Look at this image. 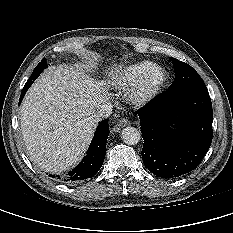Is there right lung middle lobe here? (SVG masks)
I'll list each match as a JSON object with an SVG mask.
<instances>
[{
  "label": "right lung middle lobe",
  "instance_id": "dd1d6c3e",
  "mask_svg": "<svg viewBox=\"0 0 233 233\" xmlns=\"http://www.w3.org/2000/svg\"><path fill=\"white\" fill-rule=\"evenodd\" d=\"M47 67L46 60L42 59V61L36 66L33 73L31 74L29 80H35L41 72Z\"/></svg>",
  "mask_w": 233,
  "mask_h": 233
}]
</instances>
